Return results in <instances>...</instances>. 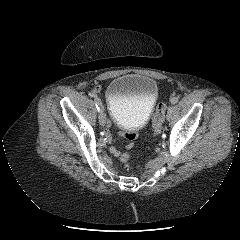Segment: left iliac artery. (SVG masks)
Here are the masks:
<instances>
[{
    "instance_id": "1",
    "label": "left iliac artery",
    "mask_w": 240,
    "mask_h": 240,
    "mask_svg": "<svg viewBox=\"0 0 240 240\" xmlns=\"http://www.w3.org/2000/svg\"><path fill=\"white\" fill-rule=\"evenodd\" d=\"M178 97L177 96H173L171 99H170V102L172 103V104H176L177 102H178Z\"/></svg>"
}]
</instances>
